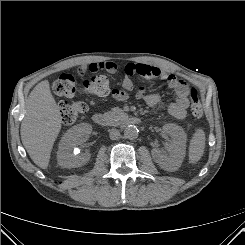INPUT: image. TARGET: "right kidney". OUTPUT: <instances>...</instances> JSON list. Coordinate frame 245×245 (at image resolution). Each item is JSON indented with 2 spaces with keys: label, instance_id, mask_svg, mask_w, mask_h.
Wrapping results in <instances>:
<instances>
[{
  "label": "right kidney",
  "instance_id": "1",
  "mask_svg": "<svg viewBox=\"0 0 245 245\" xmlns=\"http://www.w3.org/2000/svg\"><path fill=\"white\" fill-rule=\"evenodd\" d=\"M92 126L81 123L70 128L61 138L57 152V162L61 167L73 168L86 164L90 159L89 153L75 154L74 149L82 137L91 134Z\"/></svg>",
  "mask_w": 245,
  "mask_h": 245
}]
</instances>
